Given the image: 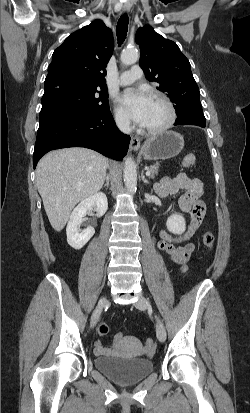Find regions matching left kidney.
<instances>
[{
	"mask_svg": "<svg viewBox=\"0 0 250 413\" xmlns=\"http://www.w3.org/2000/svg\"><path fill=\"white\" fill-rule=\"evenodd\" d=\"M166 226L169 232L180 235L186 229V222L182 215L175 213L168 217Z\"/></svg>",
	"mask_w": 250,
	"mask_h": 413,
	"instance_id": "obj_1",
	"label": "left kidney"
}]
</instances>
